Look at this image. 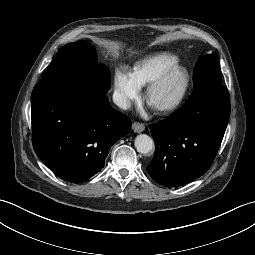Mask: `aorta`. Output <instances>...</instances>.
<instances>
[{
	"instance_id": "obj_1",
	"label": "aorta",
	"mask_w": 255,
	"mask_h": 255,
	"mask_svg": "<svg viewBox=\"0 0 255 255\" xmlns=\"http://www.w3.org/2000/svg\"><path fill=\"white\" fill-rule=\"evenodd\" d=\"M135 148L141 154H148L153 150L154 142L150 136L140 134L135 139Z\"/></svg>"
}]
</instances>
